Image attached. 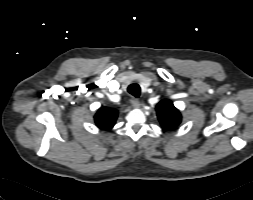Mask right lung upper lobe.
Returning a JSON list of instances; mask_svg holds the SVG:
<instances>
[{"mask_svg": "<svg viewBox=\"0 0 253 200\" xmlns=\"http://www.w3.org/2000/svg\"><path fill=\"white\" fill-rule=\"evenodd\" d=\"M118 112L115 109H110L107 107H101L94 116L96 125L103 129H111L117 119Z\"/></svg>", "mask_w": 253, "mask_h": 200, "instance_id": "obj_1", "label": "right lung upper lobe"}]
</instances>
